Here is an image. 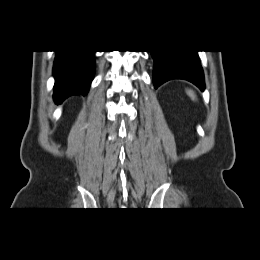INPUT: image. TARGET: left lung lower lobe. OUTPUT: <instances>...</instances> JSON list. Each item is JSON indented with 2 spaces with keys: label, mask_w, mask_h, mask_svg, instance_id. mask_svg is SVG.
Segmentation results:
<instances>
[{
  "label": "left lung lower lobe",
  "mask_w": 260,
  "mask_h": 260,
  "mask_svg": "<svg viewBox=\"0 0 260 260\" xmlns=\"http://www.w3.org/2000/svg\"><path fill=\"white\" fill-rule=\"evenodd\" d=\"M151 54L155 88L168 80L184 79L204 90V74L196 50H155Z\"/></svg>",
  "instance_id": "obj_1"
}]
</instances>
